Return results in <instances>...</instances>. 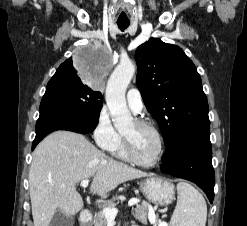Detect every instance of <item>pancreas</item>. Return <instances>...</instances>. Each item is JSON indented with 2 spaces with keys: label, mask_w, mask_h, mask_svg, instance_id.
<instances>
[{
  "label": "pancreas",
  "mask_w": 247,
  "mask_h": 226,
  "mask_svg": "<svg viewBox=\"0 0 247 226\" xmlns=\"http://www.w3.org/2000/svg\"><path fill=\"white\" fill-rule=\"evenodd\" d=\"M108 208H114V204H111ZM133 216L139 220L141 223H147L148 206L143 203L137 205V207L132 212ZM160 222V220H158ZM94 226H107V219L105 218L102 211L95 214Z\"/></svg>",
  "instance_id": "pancreas-1"
}]
</instances>
